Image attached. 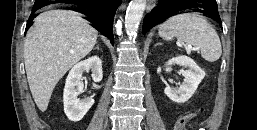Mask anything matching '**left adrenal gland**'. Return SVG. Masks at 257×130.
<instances>
[{
  "mask_svg": "<svg viewBox=\"0 0 257 130\" xmlns=\"http://www.w3.org/2000/svg\"><path fill=\"white\" fill-rule=\"evenodd\" d=\"M160 45H162V44H161V43H157V44H155V47H156V46H160Z\"/></svg>",
  "mask_w": 257,
  "mask_h": 130,
  "instance_id": "a2214340",
  "label": "left adrenal gland"
}]
</instances>
